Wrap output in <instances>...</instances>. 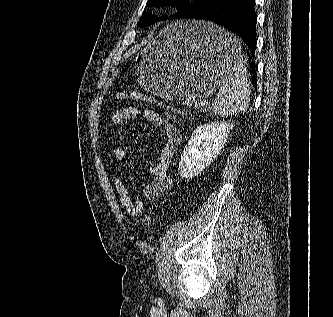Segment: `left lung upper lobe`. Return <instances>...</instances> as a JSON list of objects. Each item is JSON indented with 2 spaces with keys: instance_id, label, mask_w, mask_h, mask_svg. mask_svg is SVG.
Here are the masks:
<instances>
[{
  "instance_id": "obj_1",
  "label": "left lung upper lobe",
  "mask_w": 333,
  "mask_h": 317,
  "mask_svg": "<svg viewBox=\"0 0 333 317\" xmlns=\"http://www.w3.org/2000/svg\"><path fill=\"white\" fill-rule=\"evenodd\" d=\"M213 0H148L147 6H166V5H173L176 6L178 9L177 14L172 15L170 18L173 19H182L187 18L192 12H195L208 4H210ZM160 19H167L166 17L163 18H156L155 16H151L147 12H143L142 16L137 23L139 26H148Z\"/></svg>"
}]
</instances>
